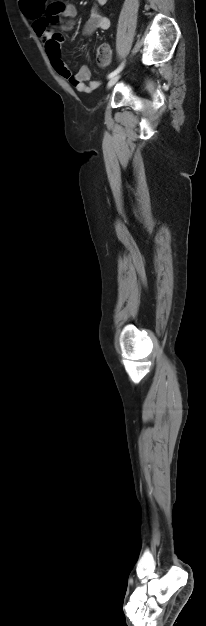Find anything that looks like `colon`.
Segmentation results:
<instances>
[{
  "mask_svg": "<svg viewBox=\"0 0 206 626\" xmlns=\"http://www.w3.org/2000/svg\"><path fill=\"white\" fill-rule=\"evenodd\" d=\"M111 50L108 45L102 44L98 47L96 52V60L99 64L105 65L110 61Z\"/></svg>",
  "mask_w": 206,
  "mask_h": 626,
  "instance_id": "obj_1",
  "label": "colon"
}]
</instances>
